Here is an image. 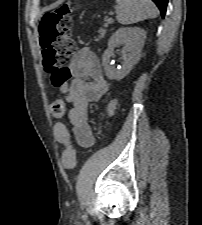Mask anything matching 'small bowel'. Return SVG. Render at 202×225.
<instances>
[{
    "label": "small bowel",
    "mask_w": 202,
    "mask_h": 225,
    "mask_svg": "<svg viewBox=\"0 0 202 225\" xmlns=\"http://www.w3.org/2000/svg\"><path fill=\"white\" fill-rule=\"evenodd\" d=\"M70 77L59 86L60 92L71 104L68 118L72 126V135L82 147L94 144V135L88 121V108L98 101L108 91V83L103 76L101 64L97 55L89 48L77 51L70 62ZM54 135L59 143L66 145L71 137L66 127L56 123Z\"/></svg>",
    "instance_id": "obj_1"
}]
</instances>
